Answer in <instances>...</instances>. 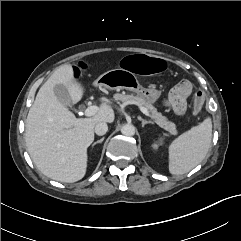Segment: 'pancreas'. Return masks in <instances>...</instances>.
<instances>
[{"label": "pancreas", "mask_w": 241, "mask_h": 241, "mask_svg": "<svg viewBox=\"0 0 241 241\" xmlns=\"http://www.w3.org/2000/svg\"><path fill=\"white\" fill-rule=\"evenodd\" d=\"M114 99L119 100L121 102H129V103H133V104L145 107L150 112V117L154 120V122L157 125L169 131L171 134H177L175 124L168 121L166 117L162 116L161 113L157 112L153 104L147 101L145 98L141 96L126 95L122 93V94H115Z\"/></svg>", "instance_id": "cf45deb5"}]
</instances>
